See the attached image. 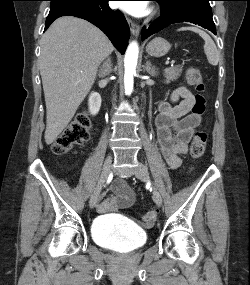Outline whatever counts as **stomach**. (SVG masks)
Returning a JSON list of instances; mask_svg holds the SVG:
<instances>
[{"instance_id": "0dacf381", "label": "stomach", "mask_w": 250, "mask_h": 285, "mask_svg": "<svg viewBox=\"0 0 250 285\" xmlns=\"http://www.w3.org/2000/svg\"><path fill=\"white\" fill-rule=\"evenodd\" d=\"M170 48L171 45L168 41L161 37H157L146 46V51L151 56L161 57L164 56Z\"/></svg>"}]
</instances>
